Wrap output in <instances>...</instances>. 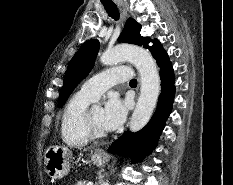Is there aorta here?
Listing matches in <instances>:
<instances>
[{
	"label": "aorta",
	"instance_id": "762f6f07",
	"mask_svg": "<svg viewBox=\"0 0 233 185\" xmlns=\"http://www.w3.org/2000/svg\"><path fill=\"white\" fill-rule=\"evenodd\" d=\"M103 65L129 61L135 65L141 76V90L138 102L130 120V130H141L150 120L160 92V77L156 62L151 54L137 46L119 45L105 51L100 57ZM103 185H110L105 182Z\"/></svg>",
	"mask_w": 233,
	"mask_h": 185
}]
</instances>
